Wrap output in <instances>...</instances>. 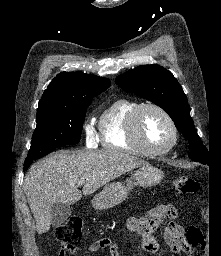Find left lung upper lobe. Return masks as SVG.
<instances>
[{
	"mask_svg": "<svg viewBox=\"0 0 221 256\" xmlns=\"http://www.w3.org/2000/svg\"><path fill=\"white\" fill-rule=\"evenodd\" d=\"M116 83L164 109L188 141L189 157L203 164L209 162L208 149L194 128L187 97L170 71L160 65H143L118 76Z\"/></svg>",
	"mask_w": 221,
	"mask_h": 256,
	"instance_id": "left-lung-upper-lobe-1",
	"label": "left lung upper lobe"
}]
</instances>
